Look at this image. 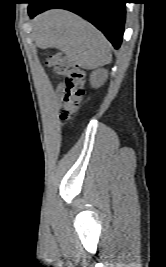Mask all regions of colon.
Wrapping results in <instances>:
<instances>
[{"label":"colon","mask_w":166,"mask_h":267,"mask_svg":"<svg viewBox=\"0 0 166 267\" xmlns=\"http://www.w3.org/2000/svg\"><path fill=\"white\" fill-rule=\"evenodd\" d=\"M47 64L53 67L55 73L65 80L60 118L67 125L78 112L83 100L85 72L61 53L50 55Z\"/></svg>","instance_id":"colon-1"}]
</instances>
